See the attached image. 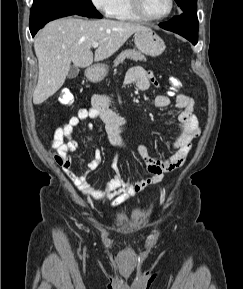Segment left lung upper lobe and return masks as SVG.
<instances>
[{
    "label": "left lung upper lobe",
    "mask_w": 243,
    "mask_h": 289,
    "mask_svg": "<svg viewBox=\"0 0 243 289\" xmlns=\"http://www.w3.org/2000/svg\"><path fill=\"white\" fill-rule=\"evenodd\" d=\"M183 12H191L197 10V0H175Z\"/></svg>",
    "instance_id": "left-lung-upper-lobe-1"
}]
</instances>
